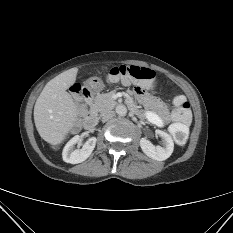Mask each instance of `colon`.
Listing matches in <instances>:
<instances>
[{
  "mask_svg": "<svg viewBox=\"0 0 233 233\" xmlns=\"http://www.w3.org/2000/svg\"><path fill=\"white\" fill-rule=\"evenodd\" d=\"M108 79L111 82L123 84L135 83L142 88L151 89L155 81V73L144 67L138 66H117L110 70ZM85 88L80 84L73 86V94L77 103L79 115L86 113ZM88 115V114H87ZM173 123L170 127L171 134L175 143L183 146L188 140L187 125L191 119L190 105L187 100L179 95L173 100Z\"/></svg>",
  "mask_w": 233,
  "mask_h": 233,
  "instance_id": "obj_1",
  "label": "colon"
}]
</instances>
